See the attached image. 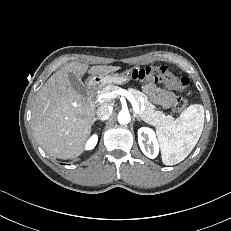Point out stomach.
<instances>
[{
    "instance_id": "obj_1",
    "label": "stomach",
    "mask_w": 231,
    "mask_h": 231,
    "mask_svg": "<svg viewBox=\"0 0 231 231\" xmlns=\"http://www.w3.org/2000/svg\"><path fill=\"white\" fill-rule=\"evenodd\" d=\"M130 80L129 76L123 73L93 75L88 79L90 86L102 87L106 84H125Z\"/></svg>"
}]
</instances>
